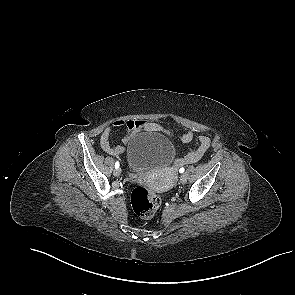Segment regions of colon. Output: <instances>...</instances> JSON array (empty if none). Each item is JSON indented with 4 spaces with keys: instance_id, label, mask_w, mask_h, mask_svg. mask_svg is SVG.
<instances>
[{
    "instance_id": "1",
    "label": "colon",
    "mask_w": 295,
    "mask_h": 295,
    "mask_svg": "<svg viewBox=\"0 0 295 295\" xmlns=\"http://www.w3.org/2000/svg\"><path fill=\"white\" fill-rule=\"evenodd\" d=\"M159 196L144 187H136L131 193V205L134 212L143 219L151 218L160 206Z\"/></svg>"
}]
</instances>
